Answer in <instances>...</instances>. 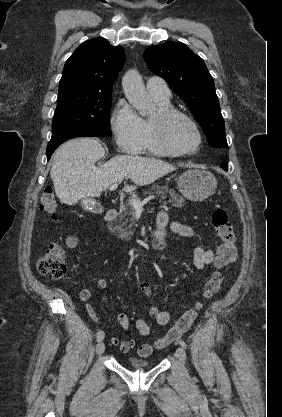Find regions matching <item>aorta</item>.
Returning <instances> with one entry per match:
<instances>
[{"instance_id": "1", "label": "aorta", "mask_w": 282, "mask_h": 417, "mask_svg": "<svg viewBox=\"0 0 282 417\" xmlns=\"http://www.w3.org/2000/svg\"><path fill=\"white\" fill-rule=\"evenodd\" d=\"M122 86L128 102L139 110L141 116H147V114L153 112L152 100L138 70H134V68L127 70L122 78Z\"/></svg>"}]
</instances>
